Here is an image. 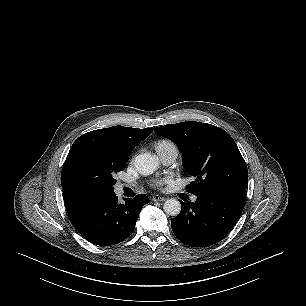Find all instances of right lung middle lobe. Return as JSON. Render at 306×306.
I'll list each match as a JSON object with an SVG mask.
<instances>
[{
    "label": "right lung middle lobe",
    "mask_w": 306,
    "mask_h": 306,
    "mask_svg": "<svg viewBox=\"0 0 306 306\" xmlns=\"http://www.w3.org/2000/svg\"><path fill=\"white\" fill-rule=\"evenodd\" d=\"M127 160L128 156L80 147L65 160L62 185L84 199L113 195L114 176L125 168Z\"/></svg>",
    "instance_id": "dd1d6c3e"
}]
</instances>
